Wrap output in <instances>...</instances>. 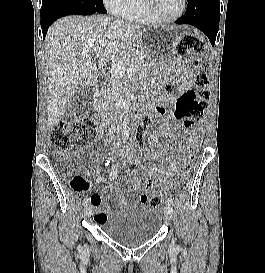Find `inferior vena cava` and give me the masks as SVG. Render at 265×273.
I'll return each mask as SVG.
<instances>
[{
  "label": "inferior vena cava",
  "mask_w": 265,
  "mask_h": 273,
  "mask_svg": "<svg viewBox=\"0 0 265 273\" xmlns=\"http://www.w3.org/2000/svg\"><path fill=\"white\" fill-rule=\"evenodd\" d=\"M118 23H123V21H117Z\"/></svg>",
  "instance_id": "inferior-vena-cava-1"
}]
</instances>
